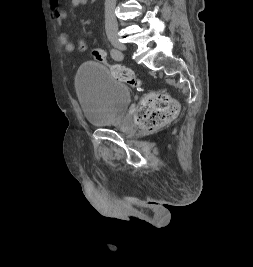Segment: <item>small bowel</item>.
Segmentation results:
<instances>
[{
  "label": "small bowel",
  "instance_id": "small-bowel-1",
  "mask_svg": "<svg viewBox=\"0 0 253 267\" xmlns=\"http://www.w3.org/2000/svg\"><path fill=\"white\" fill-rule=\"evenodd\" d=\"M49 1V9L50 14L53 19L56 21H61L64 18V13L60 7L59 0H48ZM87 3V0H70V4L72 7L80 8L85 6ZM58 41L59 44L62 46L64 51L67 53H71L75 50V44L71 41L69 38V35L61 30L58 34Z\"/></svg>",
  "mask_w": 253,
  "mask_h": 267
}]
</instances>
